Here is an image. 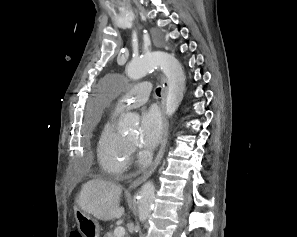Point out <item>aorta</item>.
Returning <instances> with one entry per match:
<instances>
[{
	"instance_id": "aorta-1",
	"label": "aorta",
	"mask_w": 297,
	"mask_h": 237,
	"mask_svg": "<svg viewBox=\"0 0 297 237\" xmlns=\"http://www.w3.org/2000/svg\"><path fill=\"white\" fill-rule=\"evenodd\" d=\"M160 68L167 78L168 93L166 98V114L171 116L181 103L186 86V78L179 61L165 52H152L142 58L133 59L126 66V73L132 80H139L150 71ZM138 117L132 113L125 114L120 121L123 132L135 131ZM155 201V187L152 182H146L140 189L138 198V216L141 222L146 221L151 214Z\"/></svg>"
}]
</instances>
